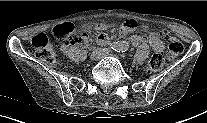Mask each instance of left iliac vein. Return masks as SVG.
<instances>
[{"label": "left iliac vein", "instance_id": "4c4485c4", "mask_svg": "<svg viewBox=\"0 0 207 123\" xmlns=\"http://www.w3.org/2000/svg\"><path fill=\"white\" fill-rule=\"evenodd\" d=\"M103 55H104V56H105V55H111V52H110L109 50L106 49V50L103 51Z\"/></svg>", "mask_w": 207, "mask_h": 123}]
</instances>
